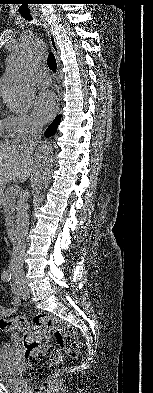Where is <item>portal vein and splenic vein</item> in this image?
Returning <instances> with one entry per match:
<instances>
[{
	"label": "portal vein and splenic vein",
	"mask_w": 153,
	"mask_h": 393,
	"mask_svg": "<svg viewBox=\"0 0 153 393\" xmlns=\"http://www.w3.org/2000/svg\"><path fill=\"white\" fill-rule=\"evenodd\" d=\"M20 189V187L18 185H14L12 187H10L11 192H18Z\"/></svg>",
	"instance_id": "portal-vein-and-splenic-vein-1"
}]
</instances>
